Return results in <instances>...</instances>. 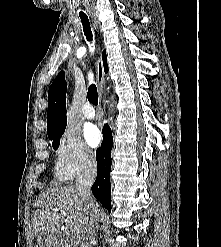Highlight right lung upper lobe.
<instances>
[{
  "instance_id": "1",
  "label": "right lung upper lobe",
  "mask_w": 221,
  "mask_h": 247,
  "mask_svg": "<svg viewBox=\"0 0 221 247\" xmlns=\"http://www.w3.org/2000/svg\"><path fill=\"white\" fill-rule=\"evenodd\" d=\"M105 72L108 71L106 51L102 54ZM66 88L64 72L61 71L51 84L48 92L47 134L49 139L63 133L67 124Z\"/></svg>"
}]
</instances>
